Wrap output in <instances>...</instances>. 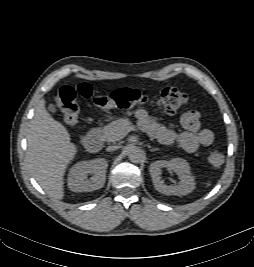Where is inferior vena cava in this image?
<instances>
[{
  "label": "inferior vena cava",
  "instance_id": "1",
  "mask_svg": "<svg viewBox=\"0 0 254 267\" xmlns=\"http://www.w3.org/2000/svg\"><path fill=\"white\" fill-rule=\"evenodd\" d=\"M118 149V146H108L107 148H106V150L107 151H115V150H117Z\"/></svg>",
  "mask_w": 254,
  "mask_h": 267
}]
</instances>
